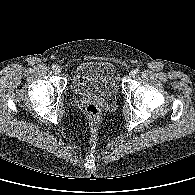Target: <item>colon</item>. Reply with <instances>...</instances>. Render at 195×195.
<instances>
[{
  "label": "colon",
  "instance_id": "5ec220e1",
  "mask_svg": "<svg viewBox=\"0 0 195 195\" xmlns=\"http://www.w3.org/2000/svg\"><path fill=\"white\" fill-rule=\"evenodd\" d=\"M85 112L88 119L93 123H96L100 118V109L94 103H89L85 108Z\"/></svg>",
  "mask_w": 195,
  "mask_h": 195
}]
</instances>
